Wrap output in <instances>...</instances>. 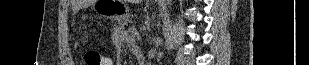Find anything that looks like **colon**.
Instances as JSON below:
<instances>
[{
    "label": "colon",
    "instance_id": "colon-1",
    "mask_svg": "<svg viewBox=\"0 0 309 65\" xmlns=\"http://www.w3.org/2000/svg\"><path fill=\"white\" fill-rule=\"evenodd\" d=\"M84 59L87 65H103L105 63L104 57L95 49L86 50Z\"/></svg>",
    "mask_w": 309,
    "mask_h": 65
}]
</instances>
